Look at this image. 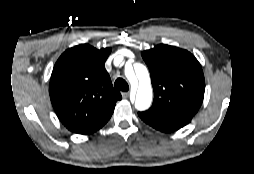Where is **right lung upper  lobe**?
<instances>
[{"instance_id": "obj_1", "label": "right lung upper lobe", "mask_w": 254, "mask_h": 174, "mask_svg": "<svg viewBox=\"0 0 254 174\" xmlns=\"http://www.w3.org/2000/svg\"><path fill=\"white\" fill-rule=\"evenodd\" d=\"M110 52L81 44L67 49L53 68L50 99L60 121L74 133L106 120L122 98L104 66Z\"/></svg>"}]
</instances>
